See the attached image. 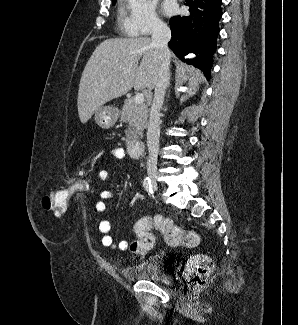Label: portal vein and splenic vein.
<instances>
[{
  "mask_svg": "<svg viewBox=\"0 0 298 325\" xmlns=\"http://www.w3.org/2000/svg\"><path fill=\"white\" fill-rule=\"evenodd\" d=\"M134 102H136V104H142V102H144L143 92H137V94H135Z\"/></svg>",
  "mask_w": 298,
  "mask_h": 325,
  "instance_id": "obj_1",
  "label": "portal vein and splenic vein"
}]
</instances>
